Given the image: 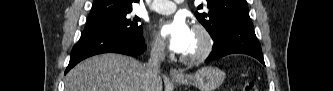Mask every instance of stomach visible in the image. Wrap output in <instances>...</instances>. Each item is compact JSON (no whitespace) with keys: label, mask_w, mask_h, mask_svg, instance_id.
<instances>
[{"label":"stomach","mask_w":333,"mask_h":91,"mask_svg":"<svg viewBox=\"0 0 333 91\" xmlns=\"http://www.w3.org/2000/svg\"><path fill=\"white\" fill-rule=\"evenodd\" d=\"M225 79L222 70L216 67H203L192 75H185L181 78H174L178 84L194 85L199 91H215Z\"/></svg>","instance_id":"stomach-1"}]
</instances>
